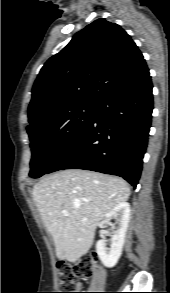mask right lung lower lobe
Here are the masks:
<instances>
[{
	"label": "right lung lower lobe",
	"instance_id": "right-lung-lower-lobe-1",
	"mask_svg": "<svg viewBox=\"0 0 170 293\" xmlns=\"http://www.w3.org/2000/svg\"><path fill=\"white\" fill-rule=\"evenodd\" d=\"M153 110L149 70L114 89L97 105L94 120L47 173L85 169L117 175L136 187Z\"/></svg>",
	"mask_w": 170,
	"mask_h": 293
}]
</instances>
